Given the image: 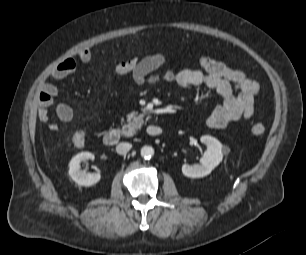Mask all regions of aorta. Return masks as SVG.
<instances>
[{"label": "aorta", "mask_w": 306, "mask_h": 255, "mask_svg": "<svg viewBox=\"0 0 306 255\" xmlns=\"http://www.w3.org/2000/svg\"><path fill=\"white\" fill-rule=\"evenodd\" d=\"M140 154L144 159H151L154 155V149L151 146H144L141 148Z\"/></svg>", "instance_id": "obj_1"}]
</instances>
